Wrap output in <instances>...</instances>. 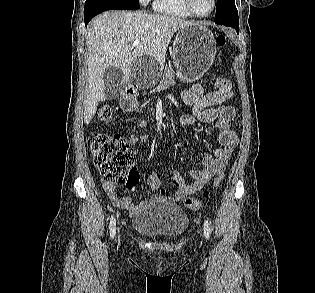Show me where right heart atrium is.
I'll use <instances>...</instances> for the list:
<instances>
[{
	"label": "right heart atrium",
	"mask_w": 315,
	"mask_h": 293,
	"mask_svg": "<svg viewBox=\"0 0 315 293\" xmlns=\"http://www.w3.org/2000/svg\"><path fill=\"white\" fill-rule=\"evenodd\" d=\"M143 5L147 6L152 3L154 0H139Z\"/></svg>",
	"instance_id": "d8ad5b80"
}]
</instances>
